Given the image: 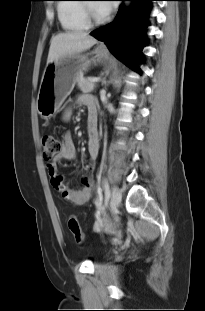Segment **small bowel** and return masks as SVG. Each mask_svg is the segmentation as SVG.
Returning <instances> with one entry per match:
<instances>
[{"label": "small bowel", "mask_w": 205, "mask_h": 311, "mask_svg": "<svg viewBox=\"0 0 205 311\" xmlns=\"http://www.w3.org/2000/svg\"><path fill=\"white\" fill-rule=\"evenodd\" d=\"M79 103L85 105L88 109L87 118V136H88V156L90 164L88 171L93 168V163L98 157L99 153V131L97 127V106L94 99L89 95H81L78 100ZM72 116L71 108H68L63 113V120L69 121ZM76 158V149L69 132L62 136V146L60 151L53 157L50 162H47L46 168L51 177V184L65 200L74 205H83L87 203L93 192L94 181L90 175L82 177V188L75 190L69 187L65 182L64 177L58 173V163L61 161H72Z\"/></svg>", "instance_id": "c3829d8e"}]
</instances>
